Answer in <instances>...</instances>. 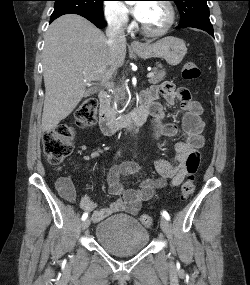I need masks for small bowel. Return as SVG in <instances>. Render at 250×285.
<instances>
[{
  "mask_svg": "<svg viewBox=\"0 0 250 285\" xmlns=\"http://www.w3.org/2000/svg\"><path fill=\"white\" fill-rule=\"evenodd\" d=\"M160 96H162L169 105H173L176 100H179L181 103L180 116L182 119L184 140L178 141L174 145L177 163L174 165L168 160L157 159L155 167L159 178H140L138 188L135 190L125 189L119 181L122 176L139 175V170L135 163L126 162L112 168L107 175V182L109 191L115 195L117 199L107 208L99 210H96V203L87 195H84L80 200V208L91 212L93 222H99L117 212H126L135 215L140 210L141 204L154 196L156 189L163 187L168 181L171 186L180 185L187 175L185 163L188 155L193 150L201 148L204 145V123L201 119L203 109L201 105L192 99L188 89L179 88L176 90L170 82H163L153 86L141 95V101L148 104L150 115L154 119V137H174L178 133L177 124L173 121H167L163 107L158 101ZM57 188L65 200L69 202L75 201L76 192L69 179H59Z\"/></svg>",
  "mask_w": 250,
  "mask_h": 285,
  "instance_id": "obj_1",
  "label": "small bowel"
}]
</instances>
